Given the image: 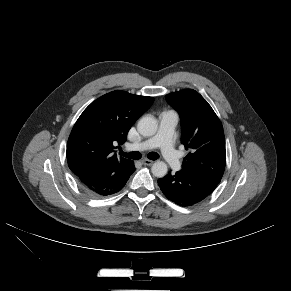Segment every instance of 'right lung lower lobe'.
<instances>
[{"label": "right lung lower lobe", "mask_w": 291, "mask_h": 291, "mask_svg": "<svg viewBox=\"0 0 291 291\" xmlns=\"http://www.w3.org/2000/svg\"><path fill=\"white\" fill-rule=\"evenodd\" d=\"M135 171L134 162L96 164L77 175L82 190L91 197H100L120 191Z\"/></svg>", "instance_id": "right-lung-lower-lobe-1"}]
</instances>
